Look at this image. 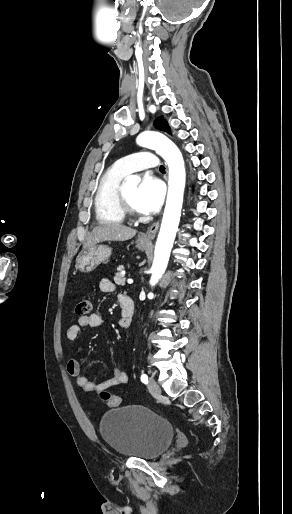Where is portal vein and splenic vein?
Returning <instances> with one entry per match:
<instances>
[{
	"mask_svg": "<svg viewBox=\"0 0 292 514\" xmlns=\"http://www.w3.org/2000/svg\"><path fill=\"white\" fill-rule=\"evenodd\" d=\"M128 284H133V280H127Z\"/></svg>",
	"mask_w": 292,
	"mask_h": 514,
	"instance_id": "portal-vein-and-splenic-vein-1",
	"label": "portal vein and splenic vein"
}]
</instances>
